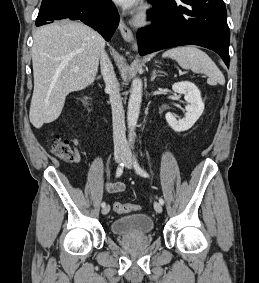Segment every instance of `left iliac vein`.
Returning a JSON list of instances; mask_svg holds the SVG:
<instances>
[{
	"instance_id": "obj_1",
	"label": "left iliac vein",
	"mask_w": 259,
	"mask_h": 283,
	"mask_svg": "<svg viewBox=\"0 0 259 283\" xmlns=\"http://www.w3.org/2000/svg\"><path fill=\"white\" fill-rule=\"evenodd\" d=\"M124 165L128 169H131L132 166H133V159H132L131 153L129 151H127L125 153ZM154 209L157 213H162V211H163L162 204H160V202H155L154 203Z\"/></svg>"
}]
</instances>
